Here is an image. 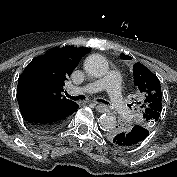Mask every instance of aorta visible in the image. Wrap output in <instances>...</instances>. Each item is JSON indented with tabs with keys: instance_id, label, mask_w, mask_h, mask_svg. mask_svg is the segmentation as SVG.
Masks as SVG:
<instances>
[{
	"instance_id": "1",
	"label": "aorta",
	"mask_w": 177,
	"mask_h": 177,
	"mask_svg": "<svg viewBox=\"0 0 177 177\" xmlns=\"http://www.w3.org/2000/svg\"><path fill=\"white\" fill-rule=\"evenodd\" d=\"M84 70L90 76L100 78L108 71V62L100 54L89 55L84 62ZM100 126L104 131H111L116 127V117L111 113H104L99 118Z\"/></svg>"
}]
</instances>
